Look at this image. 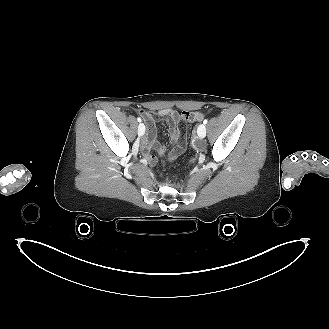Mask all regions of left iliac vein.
Returning <instances> with one entry per match:
<instances>
[{
    "label": "left iliac vein",
    "mask_w": 329,
    "mask_h": 329,
    "mask_svg": "<svg viewBox=\"0 0 329 329\" xmlns=\"http://www.w3.org/2000/svg\"><path fill=\"white\" fill-rule=\"evenodd\" d=\"M197 134L200 139H203L206 136V127L204 124L198 126Z\"/></svg>",
    "instance_id": "left-iliac-vein-1"
}]
</instances>
